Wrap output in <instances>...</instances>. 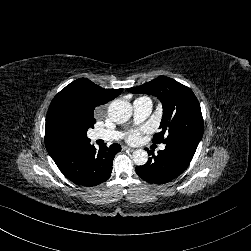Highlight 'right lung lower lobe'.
Segmentation results:
<instances>
[{
	"mask_svg": "<svg viewBox=\"0 0 251 251\" xmlns=\"http://www.w3.org/2000/svg\"><path fill=\"white\" fill-rule=\"evenodd\" d=\"M119 144L102 146L97 151L87 142L59 149L52 157L60 171L75 184L91 187L106 181L112 172L114 156Z\"/></svg>",
	"mask_w": 251,
	"mask_h": 251,
	"instance_id": "1",
	"label": "right lung lower lobe"
}]
</instances>
